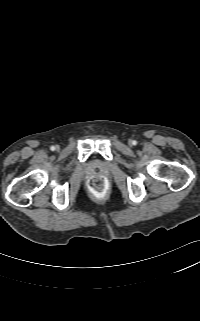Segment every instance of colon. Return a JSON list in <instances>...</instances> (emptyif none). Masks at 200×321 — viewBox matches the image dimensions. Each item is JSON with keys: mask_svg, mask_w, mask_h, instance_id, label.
<instances>
[{"mask_svg": "<svg viewBox=\"0 0 200 321\" xmlns=\"http://www.w3.org/2000/svg\"><path fill=\"white\" fill-rule=\"evenodd\" d=\"M89 189L90 191L95 194L96 196H102L105 194L106 189H107V183L105 178L101 177V176H97L92 178L89 181Z\"/></svg>", "mask_w": 200, "mask_h": 321, "instance_id": "1", "label": "colon"}]
</instances>
